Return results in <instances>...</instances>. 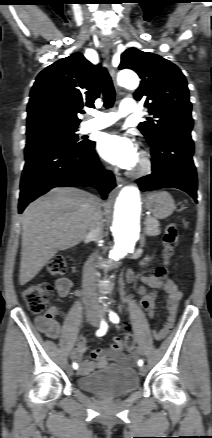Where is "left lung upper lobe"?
Masks as SVG:
<instances>
[{
  "instance_id": "5c2ea615",
  "label": "left lung upper lobe",
  "mask_w": 212,
  "mask_h": 438,
  "mask_svg": "<svg viewBox=\"0 0 212 438\" xmlns=\"http://www.w3.org/2000/svg\"><path fill=\"white\" fill-rule=\"evenodd\" d=\"M124 68L134 70L142 79L134 97L145 99V107L153 116L138 126L149 144L165 135L191 133L187 81L175 64L159 55L129 48L121 56L119 69Z\"/></svg>"
}]
</instances>
